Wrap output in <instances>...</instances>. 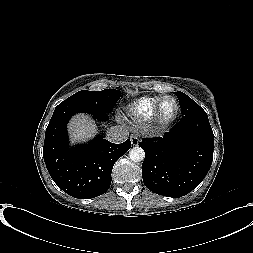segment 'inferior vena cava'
I'll return each mask as SVG.
<instances>
[{"instance_id":"602c4592","label":"inferior vena cava","mask_w":253,"mask_h":253,"mask_svg":"<svg viewBox=\"0 0 253 253\" xmlns=\"http://www.w3.org/2000/svg\"><path fill=\"white\" fill-rule=\"evenodd\" d=\"M128 134L124 127L114 126L107 131L106 139L113 143H121L127 139Z\"/></svg>"}]
</instances>
